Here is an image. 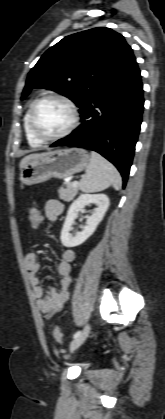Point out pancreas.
<instances>
[{
    "instance_id": "cf45deb5",
    "label": "pancreas",
    "mask_w": 165,
    "mask_h": 419,
    "mask_svg": "<svg viewBox=\"0 0 165 419\" xmlns=\"http://www.w3.org/2000/svg\"><path fill=\"white\" fill-rule=\"evenodd\" d=\"M78 186H73L72 182L64 183L58 190L60 199L64 201H71L78 193Z\"/></svg>"
}]
</instances>
